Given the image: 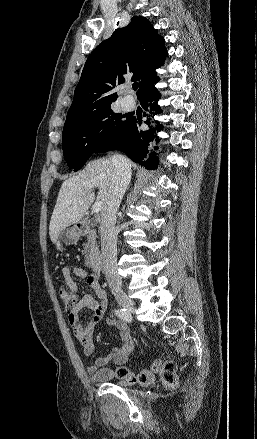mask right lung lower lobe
<instances>
[{"label": "right lung lower lobe", "instance_id": "1", "mask_svg": "<svg viewBox=\"0 0 257 439\" xmlns=\"http://www.w3.org/2000/svg\"><path fill=\"white\" fill-rule=\"evenodd\" d=\"M158 81L159 77H156L139 98L145 110L144 116H147L145 123L149 129L143 130L140 127L141 119L130 117L122 132L113 140L99 147L95 153L120 150L141 166L151 169L157 168L159 161L156 159V152L149 153L148 149L159 141L156 132L163 129L162 124L153 120V116L160 111L157 102L161 95L154 87ZM143 158H147V161H143Z\"/></svg>", "mask_w": 257, "mask_h": 439}]
</instances>
